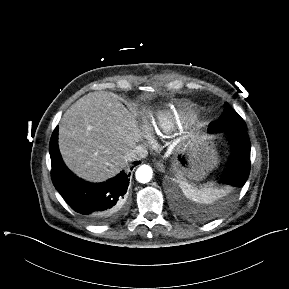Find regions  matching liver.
Masks as SVG:
<instances>
[{
  "mask_svg": "<svg viewBox=\"0 0 289 289\" xmlns=\"http://www.w3.org/2000/svg\"><path fill=\"white\" fill-rule=\"evenodd\" d=\"M143 135L133 108L128 110L112 92L95 91L64 113L58 145L65 164L77 176L103 182L126 168L125 156Z\"/></svg>",
  "mask_w": 289,
  "mask_h": 289,
  "instance_id": "obj_1",
  "label": "liver"
}]
</instances>
